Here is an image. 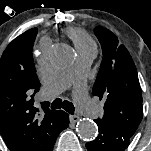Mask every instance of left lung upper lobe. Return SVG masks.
I'll list each match as a JSON object with an SVG mask.
<instances>
[{
	"label": "left lung upper lobe",
	"mask_w": 151,
	"mask_h": 151,
	"mask_svg": "<svg viewBox=\"0 0 151 151\" xmlns=\"http://www.w3.org/2000/svg\"><path fill=\"white\" fill-rule=\"evenodd\" d=\"M94 32L101 43L103 60L93 86V95L104 100V116L96 123L132 137L143 116L142 94L131 55L116 36L98 26Z\"/></svg>",
	"instance_id": "1"
}]
</instances>
